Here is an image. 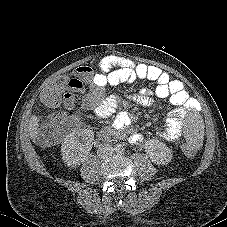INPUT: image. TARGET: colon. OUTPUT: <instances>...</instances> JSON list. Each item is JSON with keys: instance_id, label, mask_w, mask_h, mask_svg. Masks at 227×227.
<instances>
[{"instance_id": "colon-1", "label": "colon", "mask_w": 227, "mask_h": 227, "mask_svg": "<svg viewBox=\"0 0 227 227\" xmlns=\"http://www.w3.org/2000/svg\"><path fill=\"white\" fill-rule=\"evenodd\" d=\"M67 88L64 77L53 80L43 87L40 92L41 103L51 109L59 108L63 103V93ZM70 123L64 118L58 117L45 126L39 134V142L44 146H51L60 142L67 134ZM182 152L188 156H194V148L187 142L181 146Z\"/></svg>"}]
</instances>
